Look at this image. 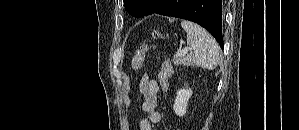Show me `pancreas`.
Instances as JSON below:
<instances>
[{
  "instance_id": "1",
  "label": "pancreas",
  "mask_w": 299,
  "mask_h": 130,
  "mask_svg": "<svg viewBox=\"0 0 299 130\" xmlns=\"http://www.w3.org/2000/svg\"><path fill=\"white\" fill-rule=\"evenodd\" d=\"M173 64L176 66H190L192 65V59L190 55L174 56L172 60Z\"/></svg>"
}]
</instances>
